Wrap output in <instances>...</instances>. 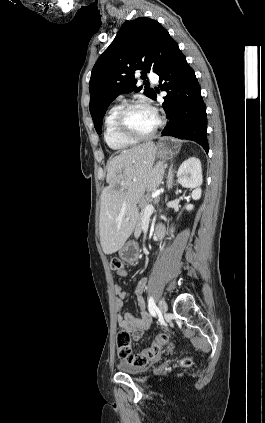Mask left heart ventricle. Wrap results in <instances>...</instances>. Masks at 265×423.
I'll return each mask as SVG.
<instances>
[{
    "instance_id": "left-heart-ventricle-1",
    "label": "left heart ventricle",
    "mask_w": 265,
    "mask_h": 423,
    "mask_svg": "<svg viewBox=\"0 0 265 423\" xmlns=\"http://www.w3.org/2000/svg\"><path fill=\"white\" fill-rule=\"evenodd\" d=\"M127 123L134 133L143 135L154 129L157 124V117L151 109L139 107L129 113Z\"/></svg>"
}]
</instances>
